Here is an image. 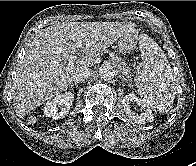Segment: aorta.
Listing matches in <instances>:
<instances>
[{
	"label": "aorta",
	"mask_w": 196,
	"mask_h": 166,
	"mask_svg": "<svg viewBox=\"0 0 196 166\" xmlns=\"http://www.w3.org/2000/svg\"><path fill=\"white\" fill-rule=\"evenodd\" d=\"M99 76L104 81L112 80L115 76V70L112 65L105 64L99 69Z\"/></svg>",
	"instance_id": "762f6f07"
}]
</instances>
